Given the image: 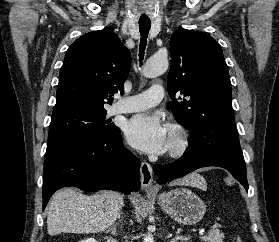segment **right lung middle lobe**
<instances>
[{"label":"right lung middle lobe","instance_id":"right-lung-middle-lobe-1","mask_svg":"<svg viewBox=\"0 0 279 242\" xmlns=\"http://www.w3.org/2000/svg\"><path fill=\"white\" fill-rule=\"evenodd\" d=\"M106 110H72L52 114L48 134L47 151L79 142L95 141L119 131L114 124H109Z\"/></svg>","mask_w":279,"mask_h":242}]
</instances>
